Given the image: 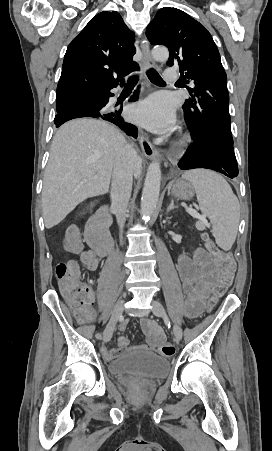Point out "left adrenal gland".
Instances as JSON below:
<instances>
[{
    "mask_svg": "<svg viewBox=\"0 0 272 451\" xmlns=\"http://www.w3.org/2000/svg\"><path fill=\"white\" fill-rule=\"evenodd\" d=\"M174 208H178V206H174V200H171L170 206L167 208V212H170V210H174Z\"/></svg>",
    "mask_w": 272,
    "mask_h": 451,
    "instance_id": "a2214340",
    "label": "left adrenal gland"
}]
</instances>
